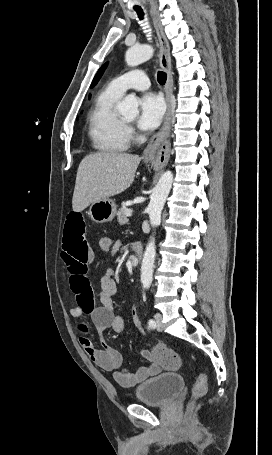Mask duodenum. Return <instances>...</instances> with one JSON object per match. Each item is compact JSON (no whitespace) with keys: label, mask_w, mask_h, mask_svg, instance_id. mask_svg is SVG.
I'll use <instances>...</instances> for the list:
<instances>
[{"label":"duodenum","mask_w":272,"mask_h":455,"mask_svg":"<svg viewBox=\"0 0 272 455\" xmlns=\"http://www.w3.org/2000/svg\"><path fill=\"white\" fill-rule=\"evenodd\" d=\"M132 250L137 260H140L143 256V247L139 242H134L132 244Z\"/></svg>","instance_id":"410a0bca"}]
</instances>
